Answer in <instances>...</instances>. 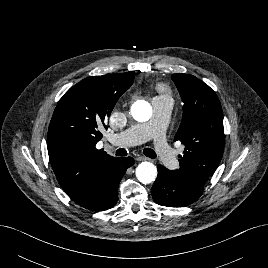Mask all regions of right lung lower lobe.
<instances>
[{
  "instance_id": "1",
  "label": "right lung lower lobe",
  "mask_w": 268,
  "mask_h": 268,
  "mask_svg": "<svg viewBox=\"0 0 268 268\" xmlns=\"http://www.w3.org/2000/svg\"><path fill=\"white\" fill-rule=\"evenodd\" d=\"M134 164L132 157L117 158L98 176L88 196L77 203L93 211L112 208L118 200V185L126 170Z\"/></svg>"
}]
</instances>
